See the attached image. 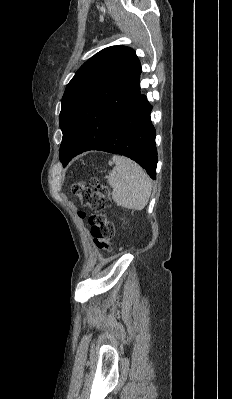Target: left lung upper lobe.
<instances>
[{
    "label": "left lung upper lobe",
    "instance_id": "left-lung-upper-lobe-1",
    "mask_svg": "<svg viewBox=\"0 0 232 399\" xmlns=\"http://www.w3.org/2000/svg\"><path fill=\"white\" fill-rule=\"evenodd\" d=\"M141 71L135 51L125 46L107 47L80 67L59 115L63 166L101 141L124 115L140 92Z\"/></svg>",
    "mask_w": 232,
    "mask_h": 399
}]
</instances>
